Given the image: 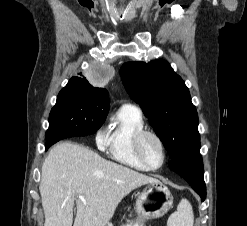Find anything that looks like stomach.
I'll use <instances>...</instances> for the list:
<instances>
[{"instance_id":"1","label":"stomach","mask_w":247,"mask_h":226,"mask_svg":"<svg viewBox=\"0 0 247 226\" xmlns=\"http://www.w3.org/2000/svg\"><path fill=\"white\" fill-rule=\"evenodd\" d=\"M172 207L173 196L169 188L160 181L148 183L136 199L138 218L123 226H143L145 220L160 218Z\"/></svg>"}]
</instances>
